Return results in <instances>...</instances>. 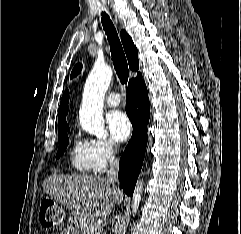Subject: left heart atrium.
<instances>
[{"mask_svg": "<svg viewBox=\"0 0 241 234\" xmlns=\"http://www.w3.org/2000/svg\"><path fill=\"white\" fill-rule=\"evenodd\" d=\"M107 123L112 137L117 141H125L131 134V122L121 111L112 112L107 118Z\"/></svg>", "mask_w": 241, "mask_h": 234, "instance_id": "1", "label": "left heart atrium"}]
</instances>
